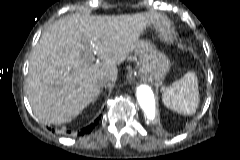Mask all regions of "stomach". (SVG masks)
Masks as SVG:
<instances>
[{
    "instance_id": "1",
    "label": "stomach",
    "mask_w": 240,
    "mask_h": 160,
    "mask_svg": "<svg viewBox=\"0 0 240 160\" xmlns=\"http://www.w3.org/2000/svg\"><path fill=\"white\" fill-rule=\"evenodd\" d=\"M141 59V72L151 79L161 82L167 75L170 62L168 58L159 52L150 41L142 40L138 49Z\"/></svg>"
}]
</instances>
